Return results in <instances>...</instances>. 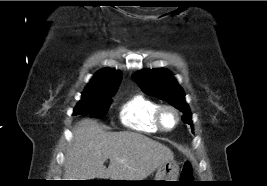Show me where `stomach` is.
<instances>
[{
	"label": "stomach",
	"mask_w": 267,
	"mask_h": 186,
	"mask_svg": "<svg viewBox=\"0 0 267 186\" xmlns=\"http://www.w3.org/2000/svg\"><path fill=\"white\" fill-rule=\"evenodd\" d=\"M178 175H179V164L175 160L167 161L158 167L155 177L153 178V180H150L155 182H152L150 185H155V186L172 185L170 184L172 182H165V181H177Z\"/></svg>",
	"instance_id": "0dacf381"
}]
</instances>
